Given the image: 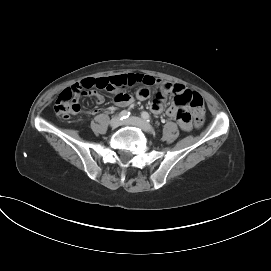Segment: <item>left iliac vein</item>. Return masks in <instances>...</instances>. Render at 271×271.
Returning <instances> with one entry per match:
<instances>
[{
	"label": "left iliac vein",
	"instance_id": "1",
	"mask_svg": "<svg viewBox=\"0 0 271 271\" xmlns=\"http://www.w3.org/2000/svg\"><path fill=\"white\" fill-rule=\"evenodd\" d=\"M123 124L136 126V127L140 128L143 131L148 132V133L154 132L152 126L149 123H147L145 120H143L139 117H130L127 120H125L123 122Z\"/></svg>",
	"mask_w": 271,
	"mask_h": 271
}]
</instances>
